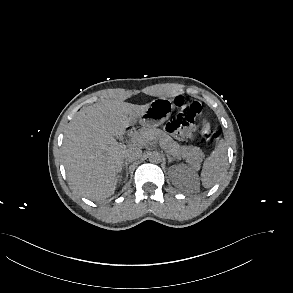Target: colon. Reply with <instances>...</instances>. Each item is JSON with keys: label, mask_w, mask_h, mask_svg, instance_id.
Returning <instances> with one entry per match:
<instances>
[{"label": "colon", "mask_w": 293, "mask_h": 293, "mask_svg": "<svg viewBox=\"0 0 293 293\" xmlns=\"http://www.w3.org/2000/svg\"><path fill=\"white\" fill-rule=\"evenodd\" d=\"M174 105L179 112L168 121L165 129L168 133L181 136L185 129L202 113V105L199 101H189L183 96H178L174 100ZM202 135L204 139L214 144L218 134L211 129L208 121H202Z\"/></svg>", "instance_id": "1"}]
</instances>
